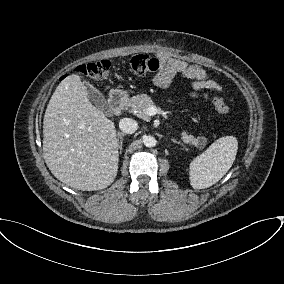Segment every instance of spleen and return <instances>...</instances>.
<instances>
[{
  "label": "spleen",
  "mask_w": 284,
  "mask_h": 284,
  "mask_svg": "<svg viewBox=\"0 0 284 284\" xmlns=\"http://www.w3.org/2000/svg\"><path fill=\"white\" fill-rule=\"evenodd\" d=\"M238 149L237 139L225 136L217 139L190 163V184L204 189L218 182L231 168Z\"/></svg>",
  "instance_id": "spleen-1"
}]
</instances>
